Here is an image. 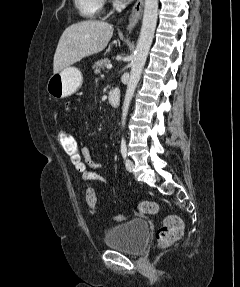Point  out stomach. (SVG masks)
Instances as JSON below:
<instances>
[{
    "label": "stomach",
    "instance_id": "1",
    "mask_svg": "<svg viewBox=\"0 0 240 287\" xmlns=\"http://www.w3.org/2000/svg\"><path fill=\"white\" fill-rule=\"evenodd\" d=\"M82 83L81 71L76 67L69 66L49 78L46 90L51 97L62 99L74 94Z\"/></svg>",
    "mask_w": 240,
    "mask_h": 287
}]
</instances>
